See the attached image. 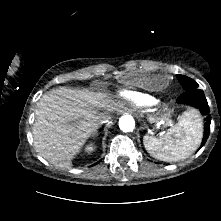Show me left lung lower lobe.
<instances>
[{"label":"left lung lower lobe","instance_id":"1","mask_svg":"<svg viewBox=\"0 0 221 221\" xmlns=\"http://www.w3.org/2000/svg\"><path fill=\"white\" fill-rule=\"evenodd\" d=\"M177 102L193 106L197 108L203 116H205L204 137L199 148L201 149L208 139L211 123V116L209 115V106L203 90L195 89L191 91H184V93L178 97Z\"/></svg>","mask_w":221,"mask_h":221}]
</instances>
